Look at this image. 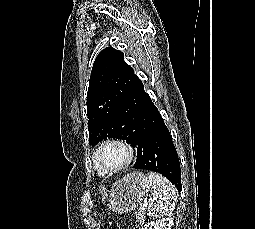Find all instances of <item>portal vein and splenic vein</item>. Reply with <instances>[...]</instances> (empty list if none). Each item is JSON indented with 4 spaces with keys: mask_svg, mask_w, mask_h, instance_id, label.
I'll return each mask as SVG.
<instances>
[{
    "mask_svg": "<svg viewBox=\"0 0 255 229\" xmlns=\"http://www.w3.org/2000/svg\"><path fill=\"white\" fill-rule=\"evenodd\" d=\"M146 205H147V200L144 201V203H143V205L140 207V209L143 210L144 207H146Z\"/></svg>",
    "mask_w": 255,
    "mask_h": 229,
    "instance_id": "portal-vein-and-splenic-vein-1",
    "label": "portal vein and splenic vein"
}]
</instances>
